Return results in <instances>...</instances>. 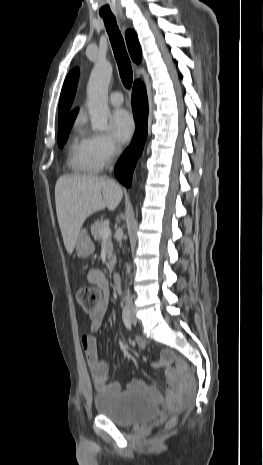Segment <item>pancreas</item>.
<instances>
[{"label": "pancreas", "mask_w": 263, "mask_h": 465, "mask_svg": "<svg viewBox=\"0 0 263 465\" xmlns=\"http://www.w3.org/2000/svg\"><path fill=\"white\" fill-rule=\"evenodd\" d=\"M104 223L102 220H97L94 224L91 225V233L94 237V239L98 242L102 241V237L100 236V230L104 227ZM106 252H107V259H108V268L110 272L113 271L114 264L116 263V257L113 254V244L111 240V236L106 238Z\"/></svg>", "instance_id": "cf45deb5"}]
</instances>
